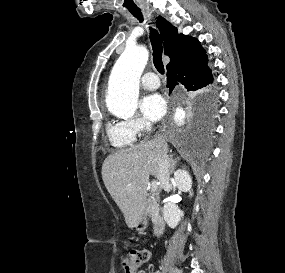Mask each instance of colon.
Returning <instances> with one entry per match:
<instances>
[{"mask_svg": "<svg viewBox=\"0 0 285 273\" xmlns=\"http://www.w3.org/2000/svg\"><path fill=\"white\" fill-rule=\"evenodd\" d=\"M148 259L149 251L147 249H132L122 260V266L125 273H137Z\"/></svg>", "mask_w": 285, "mask_h": 273, "instance_id": "1", "label": "colon"}]
</instances>
